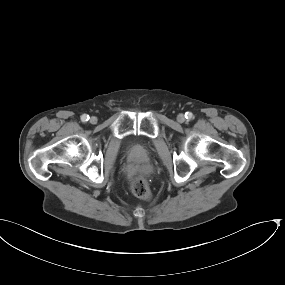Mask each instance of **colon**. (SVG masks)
Returning a JSON list of instances; mask_svg holds the SVG:
<instances>
[{
    "label": "colon",
    "instance_id": "1",
    "mask_svg": "<svg viewBox=\"0 0 285 285\" xmlns=\"http://www.w3.org/2000/svg\"><path fill=\"white\" fill-rule=\"evenodd\" d=\"M130 191L136 197L142 200H149L151 198V189L149 181L142 177H135L130 184Z\"/></svg>",
    "mask_w": 285,
    "mask_h": 285
}]
</instances>
